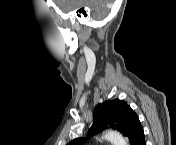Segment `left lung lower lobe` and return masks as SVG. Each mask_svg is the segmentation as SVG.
Instances as JSON below:
<instances>
[{
	"instance_id": "left-lung-lower-lobe-1",
	"label": "left lung lower lobe",
	"mask_w": 176,
	"mask_h": 145,
	"mask_svg": "<svg viewBox=\"0 0 176 145\" xmlns=\"http://www.w3.org/2000/svg\"><path fill=\"white\" fill-rule=\"evenodd\" d=\"M134 145H146L145 139H144V132L138 137Z\"/></svg>"
}]
</instances>
